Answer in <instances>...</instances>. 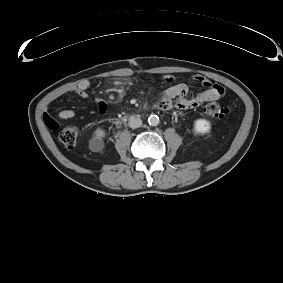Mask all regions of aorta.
Wrapping results in <instances>:
<instances>
[{"mask_svg": "<svg viewBox=\"0 0 283 283\" xmlns=\"http://www.w3.org/2000/svg\"><path fill=\"white\" fill-rule=\"evenodd\" d=\"M160 120L157 115H150L148 118V123L150 126H157L159 124Z\"/></svg>", "mask_w": 283, "mask_h": 283, "instance_id": "1", "label": "aorta"}]
</instances>
